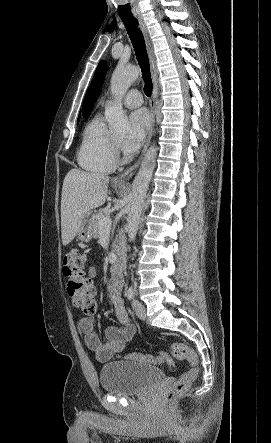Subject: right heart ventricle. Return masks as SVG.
Returning <instances> with one entry per match:
<instances>
[{
  "label": "right heart ventricle",
  "instance_id": "obj_1",
  "mask_svg": "<svg viewBox=\"0 0 271 443\" xmlns=\"http://www.w3.org/2000/svg\"><path fill=\"white\" fill-rule=\"evenodd\" d=\"M77 161L83 169L92 173L107 174L116 168L114 138L99 114H95L84 128Z\"/></svg>",
  "mask_w": 271,
  "mask_h": 443
}]
</instances>
